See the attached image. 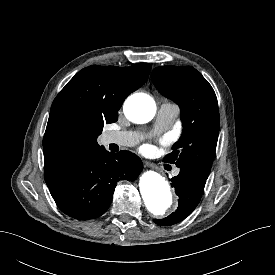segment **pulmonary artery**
<instances>
[{
	"label": "pulmonary artery",
	"mask_w": 275,
	"mask_h": 275,
	"mask_svg": "<svg viewBox=\"0 0 275 275\" xmlns=\"http://www.w3.org/2000/svg\"><path fill=\"white\" fill-rule=\"evenodd\" d=\"M178 114L179 108L177 105L168 101L163 102L157 113L154 131L162 132L168 129L173 124ZM137 140L138 136L136 134L126 131H113L107 133L105 136L106 144H117L120 146H132ZM173 174L178 175L179 169L175 168Z\"/></svg>",
	"instance_id": "e3ab8cb5"
}]
</instances>
